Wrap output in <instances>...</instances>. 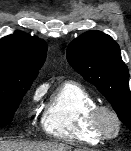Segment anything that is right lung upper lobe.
Returning <instances> with one entry per match:
<instances>
[{
  "label": "right lung upper lobe",
  "mask_w": 131,
  "mask_h": 151,
  "mask_svg": "<svg viewBox=\"0 0 131 151\" xmlns=\"http://www.w3.org/2000/svg\"><path fill=\"white\" fill-rule=\"evenodd\" d=\"M47 52L44 40L16 31L0 40V83L32 84Z\"/></svg>",
  "instance_id": "1"
}]
</instances>
